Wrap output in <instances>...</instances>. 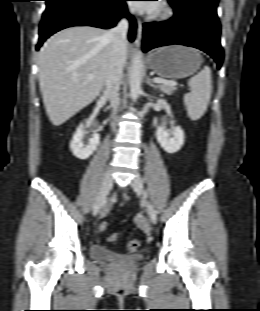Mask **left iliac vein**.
Instances as JSON below:
<instances>
[{
	"instance_id": "1",
	"label": "left iliac vein",
	"mask_w": 260,
	"mask_h": 311,
	"mask_svg": "<svg viewBox=\"0 0 260 311\" xmlns=\"http://www.w3.org/2000/svg\"><path fill=\"white\" fill-rule=\"evenodd\" d=\"M131 186L138 195H143L144 193L143 182L138 174H136V176L133 178ZM146 210L150 221L153 224H155L157 222V212L154 206L149 201H146Z\"/></svg>"
}]
</instances>
